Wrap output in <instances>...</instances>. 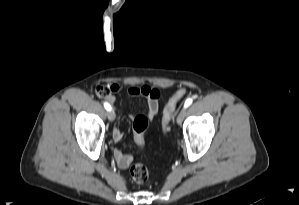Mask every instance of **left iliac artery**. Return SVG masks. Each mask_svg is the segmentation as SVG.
I'll use <instances>...</instances> for the list:
<instances>
[{"label": "left iliac artery", "instance_id": "left-iliac-artery-1", "mask_svg": "<svg viewBox=\"0 0 299 205\" xmlns=\"http://www.w3.org/2000/svg\"><path fill=\"white\" fill-rule=\"evenodd\" d=\"M192 102H193V100L191 98H188L185 101L184 108H187L188 106H190L192 104Z\"/></svg>", "mask_w": 299, "mask_h": 205}]
</instances>
